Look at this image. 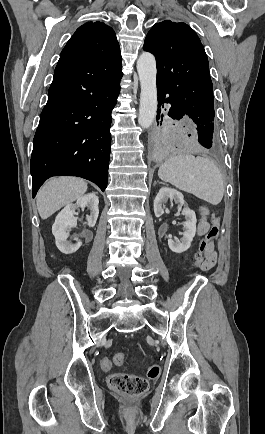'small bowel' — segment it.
Here are the masks:
<instances>
[{
    "instance_id": "1",
    "label": "small bowel",
    "mask_w": 265,
    "mask_h": 434,
    "mask_svg": "<svg viewBox=\"0 0 265 434\" xmlns=\"http://www.w3.org/2000/svg\"><path fill=\"white\" fill-rule=\"evenodd\" d=\"M198 213L200 218L197 225V234L199 236H204L210 229V224L208 222L209 210L206 206L201 205L198 207ZM205 262L206 265L209 267V269L213 268L217 262V254L214 249L213 242L208 246L206 250ZM112 366H113L112 360L106 358V368L104 370H109L112 368Z\"/></svg>"
}]
</instances>
